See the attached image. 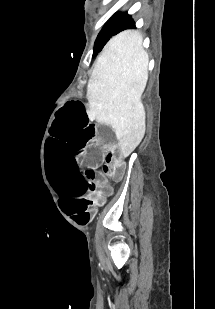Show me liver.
I'll list each match as a JSON object with an SVG mask.
<instances>
[{
	"mask_svg": "<svg viewBox=\"0 0 215 309\" xmlns=\"http://www.w3.org/2000/svg\"><path fill=\"white\" fill-rule=\"evenodd\" d=\"M149 56L139 30H123L105 44L88 80L89 114L112 126L123 157L140 144L146 130L142 92Z\"/></svg>",
	"mask_w": 215,
	"mask_h": 309,
	"instance_id": "6515ba94",
	"label": "liver"
}]
</instances>
